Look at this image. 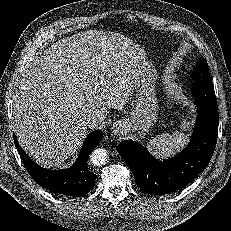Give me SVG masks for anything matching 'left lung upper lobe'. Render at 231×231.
Wrapping results in <instances>:
<instances>
[{
  "label": "left lung upper lobe",
  "mask_w": 231,
  "mask_h": 231,
  "mask_svg": "<svg viewBox=\"0 0 231 231\" xmlns=\"http://www.w3.org/2000/svg\"><path fill=\"white\" fill-rule=\"evenodd\" d=\"M193 83L213 85L209 75V68L205 59L199 60L198 67L192 72Z\"/></svg>",
  "instance_id": "1"
}]
</instances>
